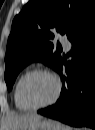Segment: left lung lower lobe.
Listing matches in <instances>:
<instances>
[{
    "mask_svg": "<svg viewBox=\"0 0 95 130\" xmlns=\"http://www.w3.org/2000/svg\"><path fill=\"white\" fill-rule=\"evenodd\" d=\"M72 60L59 62L56 71L62 76L59 100L41 109L39 114L74 127H95V12L88 16L69 38ZM67 76L62 75L63 66Z\"/></svg>",
    "mask_w": 95,
    "mask_h": 130,
    "instance_id": "obj_1",
    "label": "left lung lower lobe"
}]
</instances>
